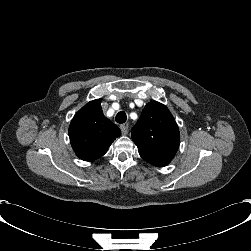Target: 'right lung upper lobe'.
Segmentation results:
<instances>
[{
	"label": "right lung upper lobe",
	"instance_id": "cb5924a9",
	"mask_svg": "<svg viewBox=\"0 0 251 251\" xmlns=\"http://www.w3.org/2000/svg\"><path fill=\"white\" fill-rule=\"evenodd\" d=\"M120 135L119 127L104 116L100 99L87 103L75 114L69 126L72 148L84 161L103 156Z\"/></svg>",
	"mask_w": 251,
	"mask_h": 251
}]
</instances>
